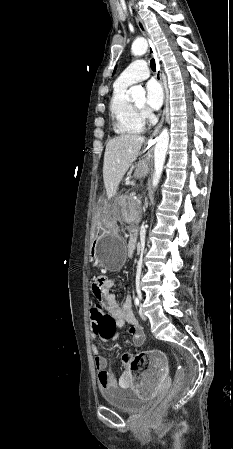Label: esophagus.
<instances>
[{"mask_svg":"<svg viewBox=\"0 0 233 449\" xmlns=\"http://www.w3.org/2000/svg\"><path fill=\"white\" fill-rule=\"evenodd\" d=\"M136 22H137V25H138L139 29L141 30V32H143L144 34L148 35L146 26L144 25L143 21H142L139 17H136ZM148 51H149L150 55L153 56V57L155 58V60H156V64H157V74H156V77H157L158 81L160 82V84L162 85L163 91H164V94H165V89H164V85H163V82H162V73H161L160 63H159V60H158V58H157V54H156L155 48H154V46H153V44H152V42H151L150 39H149V48H148ZM164 114H165V110L163 111L162 118L160 119L158 125H157L156 128L154 129V131H153V133H152V135H151V137H150L149 142L155 141V138H156V136H157L159 130L161 129V127H162V125H163Z\"/></svg>","mask_w":233,"mask_h":449,"instance_id":"obj_1","label":"esophagus"}]
</instances>
